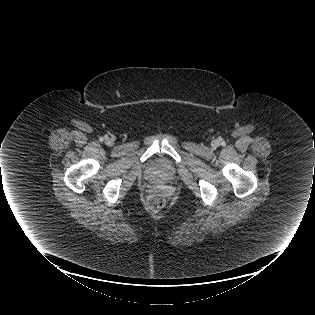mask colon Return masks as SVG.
I'll return each instance as SVG.
<instances>
[{
	"label": "colon",
	"mask_w": 315,
	"mask_h": 315,
	"mask_svg": "<svg viewBox=\"0 0 315 315\" xmlns=\"http://www.w3.org/2000/svg\"><path fill=\"white\" fill-rule=\"evenodd\" d=\"M165 204V195L160 190L152 191L148 197V207L151 210H158Z\"/></svg>",
	"instance_id": "colon-1"
}]
</instances>
